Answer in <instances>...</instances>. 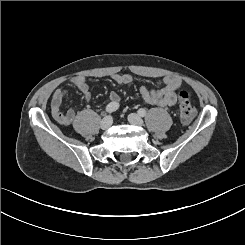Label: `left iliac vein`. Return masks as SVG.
<instances>
[{
	"label": "left iliac vein",
	"mask_w": 245,
	"mask_h": 245,
	"mask_svg": "<svg viewBox=\"0 0 245 245\" xmlns=\"http://www.w3.org/2000/svg\"><path fill=\"white\" fill-rule=\"evenodd\" d=\"M128 121L131 124L137 125V126H141L144 123L143 119L138 114H136V113L129 114Z\"/></svg>",
	"instance_id": "1"
}]
</instances>
